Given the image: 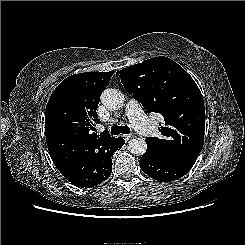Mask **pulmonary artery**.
<instances>
[{"instance_id": "1", "label": "pulmonary artery", "mask_w": 245, "mask_h": 245, "mask_svg": "<svg viewBox=\"0 0 245 245\" xmlns=\"http://www.w3.org/2000/svg\"><path fill=\"white\" fill-rule=\"evenodd\" d=\"M126 114L128 115L133 127L143 136L152 137L155 133L154 125L147 118L141 104L130 99L126 104Z\"/></svg>"}]
</instances>
